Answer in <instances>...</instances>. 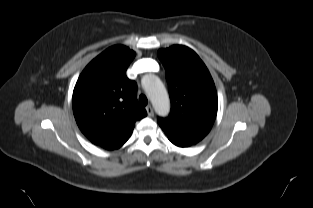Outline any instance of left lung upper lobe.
Instances as JSON below:
<instances>
[{
  "label": "left lung upper lobe",
  "mask_w": 313,
  "mask_h": 208,
  "mask_svg": "<svg viewBox=\"0 0 313 208\" xmlns=\"http://www.w3.org/2000/svg\"><path fill=\"white\" fill-rule=\"evenodd\" d=\"M169 86L171 112L158 117L168 139L179 147L201 141L211 130L218 100L213 79L199 56L190 48L174 45L158 51Z\"/></svg>",
  "instance_id": "5c2ea615"
}]
</instances>
